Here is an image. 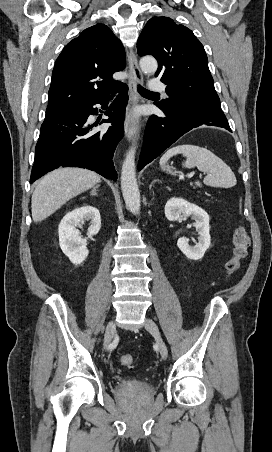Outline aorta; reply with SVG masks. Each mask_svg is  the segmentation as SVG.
I'll use <instances>...</instances> for the list:
<instances>
[{
    "instance_id": "aorta-1",
    "label": "aorta",
    "mask_w": 272,
    "mask_h": 452,
    "mask_svg": "<svg viewBox=\"0 0 272 452\" xmlns=\"http://www.w3.org/2000/svg\"><path fill=\"white\" fill-rule=\"evenodd\" d=\"M140 67L144 73H155L158 64L155 58L146 56L140 60ZM135 152L136 147H131L123 162L121 171V190L126 207L131 213L136 215L140 211V193L135 172Z\"/></svg>"
}]
</instances>
